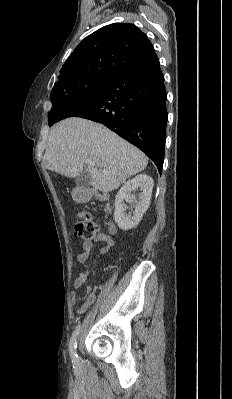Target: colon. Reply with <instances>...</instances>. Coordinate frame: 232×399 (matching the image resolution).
<instances>
[{
  "mask_svg": "<svg viewBox=\"0 0 232 399\" xmlns=\"http://www.w3.org/2000/svg\"><path fill=\"white\" fill-rule=\"evenodd\" d=\"M93 232H96L95 224L92 222L91 215L84 216V224H82V216L78 215L77 219L74 220V238H83L84 240H89L93 237ZM93 296H98V287H93Z\"/></svg>",
  "mask_w": 232,
  "mask_h": 399,
  "instance_id": "5ec220e1",
  "label": "colon"
}]
</instances>
